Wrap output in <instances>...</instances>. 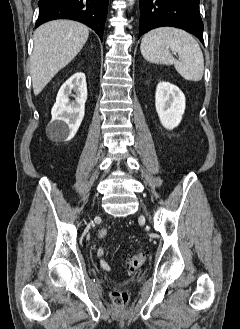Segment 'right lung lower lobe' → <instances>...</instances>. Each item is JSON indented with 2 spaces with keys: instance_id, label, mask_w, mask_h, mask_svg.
<instances>
[{
  "instance_id": "obj_1",
  "label": "right lung lower lobe",
  "mask_w": 240,
  "mask_h": 329,
  "mask_svg": "<svg viewBox=\"0 0 240 329\" xmlns=\"http://www.w3.org/2000/svg\"><path fill=\"white\" fill-rule=\"evenodd\" d=\"M36 27L55 19H71L92 28L102 40L108 0H39Z\"/></svg>"
}]
</instances>
